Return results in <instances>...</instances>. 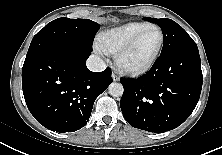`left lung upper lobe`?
<instances>
[{"label": "left lung upper lobe", "instance_id": "5c2ea615", "mask_svg": "<svg viewBox=\"0 0 222 155\" xmlns=\"http://www.w3.org/2000/svg\"><path fill=\"white\" fill-rule=\"evenodd\" d=\"M156 23L162 29L164 44L161 54L177 49H197L196 43L188 33L176 22L168 18H144Z\"/></svg>", "mask_w": 222, "mask_h": 155}]
</instances>
